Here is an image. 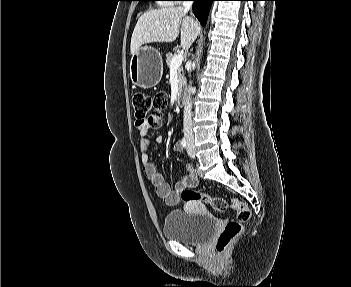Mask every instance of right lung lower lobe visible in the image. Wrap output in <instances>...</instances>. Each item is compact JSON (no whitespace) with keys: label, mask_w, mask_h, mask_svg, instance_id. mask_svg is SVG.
Returning <instances> with one entry per match:
<instances>
[{"label":"right lung lower lobe","mask_w":351,"mask_h":287,"mask_svg":"<svg viewBox=\"0 0 351 287\" xmlns=\"http://www.w3.org/2000/svg\"><path fill=\"white\" fill-rule=\"evenodd\" d=\"M193 12L198 18L200 23L204 26L206 24L208 12L211 6L212 1L215 0H193Z\"/></svg>","instance_id":"right-lung-lower-lobe-1"}]
</instances>
